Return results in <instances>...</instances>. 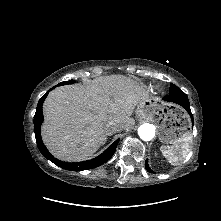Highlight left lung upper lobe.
Wrapping results in <instances>:
<instances>
[{
	"instance_id": "5c2ea615",
	"label": "left lung upper lobe",
	"mask_w": 221,
	"mask_h": 221,
	"mask_svg": "<svg viewBox=\"0 0 221 221\" xmlns=\"http://www.w3.org/2000/svg\"><path fill=\"white\" fill-rule=\"evenodd\" d=\"M179 91H181V89L179 87H177L174 84H171V86H170V93L179 92Z\"/></svg>"
}]
</instances>
